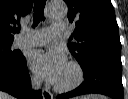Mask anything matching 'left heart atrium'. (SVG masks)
Returning a JSON list of instances; mask_svg holds the SVG:
<instances>
[{
    "mask_svg": "<svg viewBox=\"0 0 128 99\" xmlns=\"http://www.w3.org/2000/svg\"><path fill=\"white\" fill-rule=\"evenodd\" d=\"M31 68L45 80L56 83L62 75L67 62L59 49L35 51L29 58Z\"/></svg>",
    "mask_w": 128,
    "mask_h": 99,
    "instance_id": "1",
    "label": "left heart atrium"
}]
</instances>
